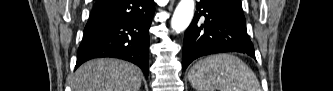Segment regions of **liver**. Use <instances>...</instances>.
Returning a JSON list of instances; mask_svg holds the SVG:
<instances>
[{"label": "liver", "mask_w": 333, "mask_h": 91, "mask_svg": "<svg viewBox=\"0 0 333 91\" xmlns=\"http://www.w3.org/2000/svg\"><path fill=\"white\" fill-rule=\"evenodd\" d=\"M141 70L128 62L101 58L90 60L75 72L72 91H139Z\"/></svg>", "instance_id": "obj_1"}]
</instances>
